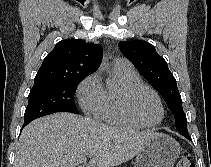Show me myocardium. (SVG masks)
<instances>
[{"mask_svg": "<svg viewBox=\"0 0 211 167\" xmlns=\"http://www.w3.org/2000/svg\"><path fill=\"white\" fill-rule=\"evenodd\" d=\"M143 90L149 91L150 93L153 94V96L156 98V100L159 104L160 110H161L160 119L158 122H156L154 124H145V123L141 122L136 117V115L134 114V112L132 111V108H131L132 97L139 91H143ZM119 105H120V108H121V111L123 112V114L130 121H132L139 127L150 128V129L156 128L163 122L164 117H165V108H164V105H163L160 95L158 94V92L155 89H153L152 87L145 85L143 83L131 85V86H128V87H125L124 89H122L119 94Z\"/></svg>", "mask_w": 211, "mask_h": 167, "instance_id": "myocardium-1", "label": "myocardium"}]
</instances>
